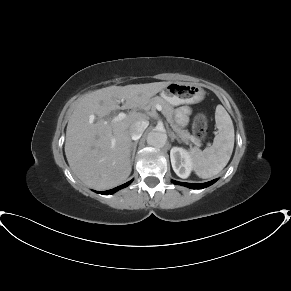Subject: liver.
I'll return each instance as SVG.
<instances>
[{"label": "liver", "instance_id": "6515ba94", "mask_svg": "<svg viewBox=\"0 0 291 291\" xmlns=\"http://www.w3.org/2000/svg\"><path fill=\"white\" fill-rule=\"evenodd\" d=\"M170 82L110 86L85 95L68 121L65 154L73 173L87 186L105 190L123 183L132 170L131 124L147 120L132 112L113 121L117 109L144 108ZM123 101V106L118 105Z\"/></svg>", "mask_w": 291, "mask_h": 291}]
</instances>
